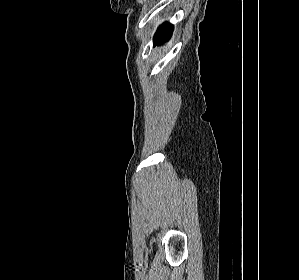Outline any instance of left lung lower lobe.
<instances>
[{"instance_id": "obj_1", "label": "left lung lower lobe", "mask_w": 299, "mask_h": 280, "mask_svg": "<svg viewBox=\"0 0 299 280\" xmlns=\"http://www.w3.org/2000/svg\"><path fill=\"white\" fill-rule=\"evenodd\" d=\"M172 31H173V25H171L170 23H167V22L162 24L158 28V30L153 38L154 46L160 45L161 43L169 40L171 37Z\"/></svg>"}]
</instances>
